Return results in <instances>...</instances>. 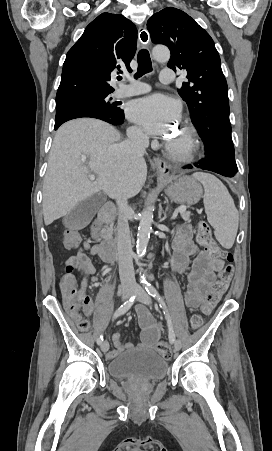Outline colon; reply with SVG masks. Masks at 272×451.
<instances>
[{
	"instance_id": "5ec220e1",
	"label": "colon",
	"mask_w": 272,
	"mask_h": 451,
	"mask_svg": "<svg viewBox=\"0 0 272 451\" xmlns=\"http://www.w3.org/2000/svg\"><path fill=\"white\" fill-rule=\"evenodd\" d=\"M62 249H77L80 244V235H77L76 230H63L62 232ZM198 240L209 249L207 250L208 258H225L228 264L223 268L219 274V280L210 288L205 297V302L202 307L205 313H210L214 307L220 302L225 294L228 286L231 283L234 267L232 261L234 256L229 249H218V244L214 241L209 227L206 223H202L197 231ZM79 267L80 271H94V262H88L87 258H68L66 260L64 274H59V283H61V294L65 297L66 303H74L75 310H83L85 313L90 312L89 295L84 294L81 288H78V280L74 271ZM193 328H198L202 324V318L199 315H194L191 319ZM89 322L81 320L78 322L80 330H87ZM157 354H174V345H168L167 342L156 343Z\"/></svg>"
}]
</instances>
